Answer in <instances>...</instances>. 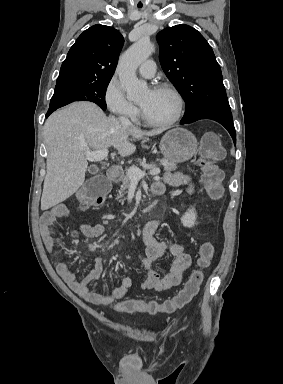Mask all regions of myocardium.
<instances>
[{
	"mask_svg": "<svg viewBox=\"0 0 283 384\" xmlns=\"http://www.w3.org/2000/svg\"><path fill=\"white\" fill-rule=\"evenodd\" d=\"M152 90H164L169 92L176 101V112L175 115L168 121L165 122H155L152 120H149L142 112L141 107L139 109L141 120L149 127L156 128V129H165L173 126L176 124L182 117L183 114V108H184V102L183 98L180 94V92L172 85L167 83H159L154 85Z\"/></svg>",
	"mask_w": 283,
	"mask_h": 384,
	"instance_id": "1",
	"label": "myocardium"
}]
</instances>
